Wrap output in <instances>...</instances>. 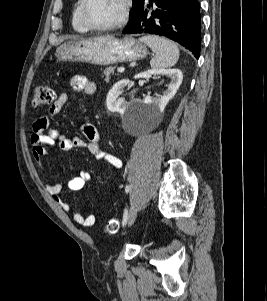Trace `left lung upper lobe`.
Instances as JSON below:
<instances>
[{
	"label": "left lung upper lobe",
	"mask_w": 267,
	"mask_h": 301,
	"mask_svg": "<svg viewBox=\"0 0 267 301\" xmlns=\"http://www.w3.org/2000/svg\"><path fill=\"white\" fill-rule=\"evenodd\" d=\"M144 2H145V0H133V6H132V9L130 10V14H129L131 21L136 17L139 10L143 6Z\"/></svg>",
	"instance_id": "1"
}]
</instances>
